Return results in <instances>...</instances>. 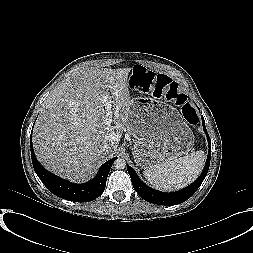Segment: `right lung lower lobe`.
Masks as SVG:
<instances>
[{"mask_svg": "<svg viewBox=\"0 0 253 253\" xmlns=\"http://www.w3.org/2000/svg\"><path fill=\"white\" fill-rule=\"evenodd\" d=\"M31 141L30 137L31 158L34 170L50 192L60 198L75 202L93 201L103 193L108 173L116 158L105 162L91 181L84 184H75L47 171L36 159Z\"/></svg>", "mask_w": 253, "mask_h": 253, "instance_id": "right-lung-lower-lobe-1", "label": "right lung lower lobe"}]
</instances>
